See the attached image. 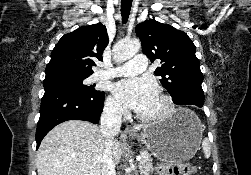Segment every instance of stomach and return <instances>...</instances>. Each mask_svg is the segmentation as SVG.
I'll list each match as a JSON object with an SVG mask.
<instances>
[{
	"instance_id": "stomach-1",
	"label": "stomach",
	"mask_w": 251,
	"mask_h": 175,
	"mask_svg": "<svg viewBox=\"0 0 251 175\" xmlns=\"http://www.w3.org/2000/svg\"><path fill=\"white\" fill-rule=\"evenodd\" d=\"M204 125L198 115L179 107L172 117L159 123H146L139 135L152 155L161 161H188L200 147Z\"/></svg>"
}]
</instances>
